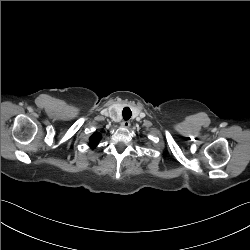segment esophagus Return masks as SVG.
Wrapping results in <instances>:
<instances>
[{
    "mask_svg": "<svg viewBox=\"0 0 250 250\" xmlns=\"http://www.w3.org/2000/svg\"><path fill=\"white\" fill-rule=\"evenodd\" d=\"M121 125L125 128H128L130 126V122L129 121H122Z\"/></svg>",
    "mask_w": 250,
    "mask_h": 250,
    "instance_id": "obj_1",
    "label": "esophagus"
}]
</instances>
